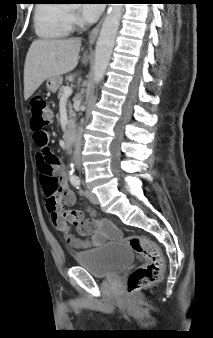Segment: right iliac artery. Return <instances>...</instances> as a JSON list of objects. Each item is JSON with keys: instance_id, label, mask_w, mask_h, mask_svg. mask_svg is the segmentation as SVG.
Masks as SVG:
<instances>
[{"instance_id": "right-iliac-artery-1", "label": "right iliac artery", "mask_w": 213, "mask_h": 338, "mask_svg": "<svg viewBox=\"0 0 213 338\" xmlns=\"http://www.w3.org/2000/svg\"><path fill=\"white\" fill-rule=\"evenodd\" d=\"M73 185H74L76 188H79V187H80V181L74 182Z\"/></svg>"}]
</instances>
